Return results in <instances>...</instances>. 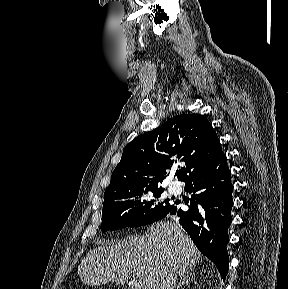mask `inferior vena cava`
Returning a JSON list of instances; mask_svg holds the SVG:
<instances>
[{
    "label": "inferior vena cava",
    "instance_id": "602c4592",
    "mask_svg": "<svg viewBox=\"0 0 288 289\" xmlns=\"http://www.w3.org/2000/svg\"><path fill=\"white\" fill-rule=\"evenodd\" d=\"M177 281V276L174 272H169L165 275V279L161 284V289H174Z\"/></svg>",
    "mask_w": 288,
    "mask_h": 289
}]
</instances>
